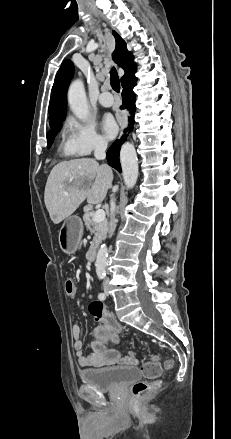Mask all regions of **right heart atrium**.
<instances>
[{"mask_svg":"<svg viewBox=\"0 0 231 439\" xmlns=\"http://www.w3.org/2000/svg\"><path fill=\"white\" fill-rule=\"evenodd\" d=\"M67 127L68 144L75 155L86 156L94 151L106 149L107 141L97 132L92 121L70 118Z\"/></svg>","mask_w":231,"mask_h":439,"instance_id":"obj_1","label":"right heart atrium"}]
</instances>
